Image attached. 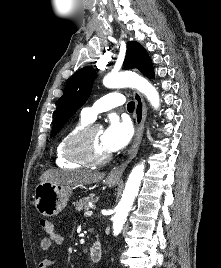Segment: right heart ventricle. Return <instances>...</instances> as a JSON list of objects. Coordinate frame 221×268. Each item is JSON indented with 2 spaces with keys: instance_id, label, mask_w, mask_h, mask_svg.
<instances>
[{
  "instance_id": "right-heart-ventricle-1",
  "label": "right heart ventricle",
  "mask_w": 221,
  "mask_h": 268,
  "mask_svg": "<svg viewBox=\"0 0 221 268\" xmlns=\"http://www.w3.org/2000/svg\"><path fill=\"white\" fill-rule=\"evenodd\" d=\"M91 122L81 116L76 124L70 127L58 140L55 147V162L61 168L76 169L87 166L86 164L76 162L70 159L66 153V144L69 138L79 129Z\"/></svg>"
}]
</instances>
